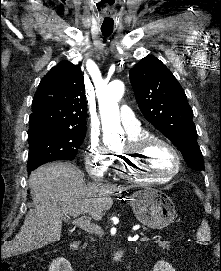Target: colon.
Returning a JSON list of instances; mask_svg holds the SVG:
<instances>
[{
	"label": "colon",
	"mask_w": 221,
	"mask_h": 271,
	"mask_svg": "<svg viewBox=\"0 0 221 271\" xmlns=\"http://www.w3.org/2000/svg\"><path fill=\"white\" fill-rule=\"evenodd\" d=\"M0 271H12V268L10 264L5 263L3 265H0Z\"/></svg>",
	"instance_id": "colon-1"
}]
</instances>
